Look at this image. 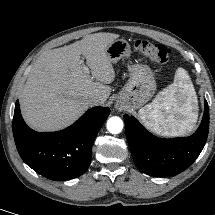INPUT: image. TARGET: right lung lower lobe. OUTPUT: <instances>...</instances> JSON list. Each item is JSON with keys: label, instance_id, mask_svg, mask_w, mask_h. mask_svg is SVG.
<instances>
[{"label": "right lung lower lobe", "instance_id": "obj_1", "mask_svg": "<svg viewBox=\"0 0 215 215\" xmlns=\"http://www.w3.org/2000/svg\"><path fill=\"white\" fill-rule=\"evenodd\" d=\"M109 113L108 107H94L64 130L36 132L24 122L17 101L13 117L17 150L29 167L48 179L79 177L90 165L94 139Z\"/></svg>", "mask_w": 215, "mask_h": 215}]
</instances>
